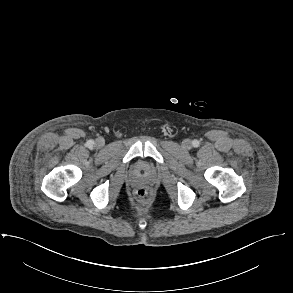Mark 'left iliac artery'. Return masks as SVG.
<instances>
[{"label":"left iliac artery","instance_id":"obj_1","mask_svg":"<svg viewBox=\"0 0 293 293\" xmlns=\"http://www.w3.org/2000/svg\"><path fill=\"white\" fill-rule=\"evenodd\" d=\"M192 144H193L194 147H198V146H199V141L194 140V141L192 142Z\"/></svg>","mask_w":293,"mask_h":293}]
</instances>
